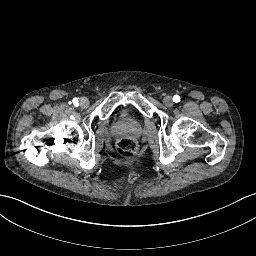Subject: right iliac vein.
Returning a JSON list of instances; mask_svg holds the SVG:
<instances>
[{
    "label": "right iliac vein",
    "mask_w": 256,
    "mask_h": 256,
    "mask_svg": "<svg viewBox=\"0 0 256 256\" xmlns=\"http://www.w3.org/2000/svg\"><path fill=\"white\" fill-rule=\"evenodd\" d=\"M80 106L82 107V108H87L88 106H89V101H88V99L87 98H85V97H83V98H81L80 99Z\"/></svg>",
    "instance_id": "1"
}]
</instances>
